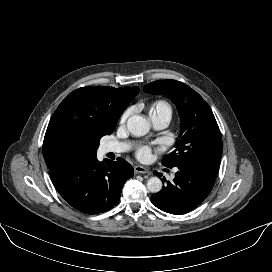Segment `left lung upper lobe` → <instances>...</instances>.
Instances as JSON below:
<instances>
[{"mask_svg":"<svg viewBox=\"0 0 272 272\" xmlns=\"http://www.w3.org/2000/svg\"><path fill=\"white\" fill-rule=\"evenodd\" d=\"M151 94H164L177 106L181 117V132L176 150L165 155L166 167L185 166L214 178L221 157V133L209 105L186 84L176 80H159L144 86Z\"/></svg>","mask_w":272,"mask_h":272,"instance_id":"obj_1","label":"left lung upper lobe"}]
</instances>
